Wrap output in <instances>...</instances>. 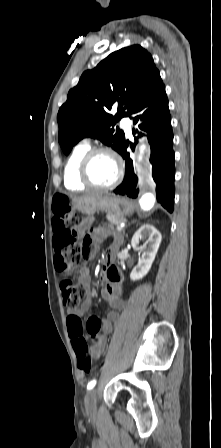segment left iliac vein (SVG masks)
Returning <instances> with one entry per match:
<instances>
[{"label": "left iliac vein", "mask_w": 221, "mask_h": 448, "mask_svg": "<svg viewBox=\"0 0 221 448\" xmlns=\"http://www.w3.org/2000/svg\"><path fill=\"white\" fill-rule=\"evenodd\" d=\"M96 404H97V399H96V390L95 389H91L87 392L86 396H85V407H86V411L87 412H93L96 410Z\"/></svg>", "instance_id": "obj_1"}]
</instances>
